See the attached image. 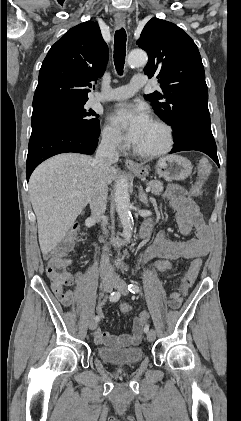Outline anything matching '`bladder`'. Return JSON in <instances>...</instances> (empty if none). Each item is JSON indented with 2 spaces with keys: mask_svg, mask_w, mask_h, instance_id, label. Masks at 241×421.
I'll use <instances>...</instances> for the list:
<instances>
[{
  "mask_svg": "<svg viewBox=\"0 0 241 421\" xmlns=\"http://www.w3.org/2000/svg\"><path fill=\"white\" fill-rule=\"evenodd\" d=\"M97 354L103 361L113 365H131L138 363L143 358V350L140 347H105L97 348Z\"/></svg>",
  "mask_w": 241,
  "mask_h": 421,
  "instance_id": "31cf9c89",
  "label": "bladder"
}]
</instances>
